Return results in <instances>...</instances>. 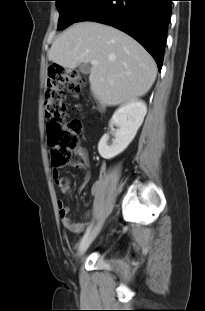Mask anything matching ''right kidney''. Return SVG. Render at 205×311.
I'll return each mask as SVG.
<instances>
[{"label": "right kidney", "instance_id": "obj_1", "mask_svg": "<svg viewBox=\"0 0 205 311\" xmlns=\"http://www.w3.org/2000/svg\"><path fill=\"white\" fill-rule=\"evenodd\" d=\"M147 112L145 102L131 100L119 107L110 121L111 132L115 139L108 146L109 134H104L98 144V152L104 159H112L122 153L134 139L139 127L142 125ZM119 129L114 130L113 126Z\"/></svg>", "mask_w": 205, "mask_h": 311}]
</instances>
